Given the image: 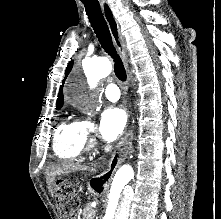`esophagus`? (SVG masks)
Instances as JSON below:
<instances>
[{"mask_svg": "<svg viewBox=\"0 0 221 219\" xmlns=\"http://www.w3.org/2000/svg\"><path fill=\"white\" fill-rule=\"evenodd\" d=\"M101 8L105 17V20L108 24L112 39L114 44L116 45L122 60L124 62V66L127 72L128 82L131 80V73L129 70L128 60H127V53H126V45L123 36L121 35L119 24L117 19L114 16V13L108 3L102 2Z\"/></svg>", "mask_w": 221, "mask_h": 219, "instance_id": "34e87169", "label": "esophagus"}]
</instances>
